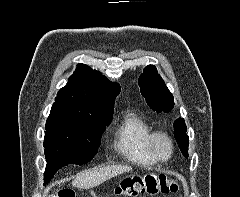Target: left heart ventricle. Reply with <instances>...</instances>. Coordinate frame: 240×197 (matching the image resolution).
I'll use <instances>...</instances> for the list:
<instances>
[{
	"instance_id": "obj_1",
	"label": "left heart ventricle",
	"mask_w": 240,
	"mask_h": 197,
	"mask_svg": "<svg viewBox=\"0 0 240 197\" xmlns=\"http://www.w3.org/2000/svg\"><path fill=\"white\" fill-rule=\"evenodd\" d=\"M157 147L161 155L166 156L168 154V144L164 140H159Z\"/></svg>"
}]
</instances>
